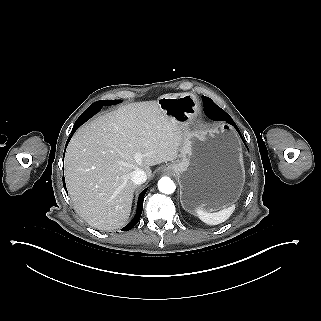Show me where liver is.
Listing matches in <instances>:
<instances>
[{
	"mask_svg": "<svg viewBox=\"0 0 321 321\" xmlns=\"http://www.w3.org/2000/svg\"><path fill=\"white\" fill-rule=\"evenodd\" d=\"M186 123L166 116L157 101L121 105L81 126L65 155V181L76 212L110 231L130 216L136 184L130 174L173 161Z\"/></svg>",
	"mask_w": 321,
	"mask_h": 321,
	"instance_id": "1",
	"label": "liver"
}]
</instances>
